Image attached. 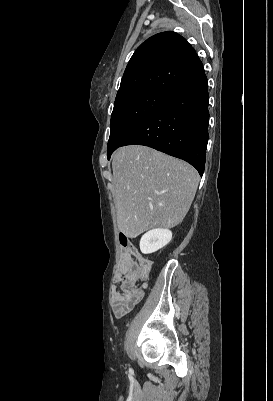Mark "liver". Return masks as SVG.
<instances>
[{
  "label": "liver",
  "instance_id": "1",
  "mask_svg": "<svg viewBox=\"0 0 273 401\" xmlns=\"http://www.w3.org/2000/svg\"><path fill=\"white\" fill-rule=\"evenodd\" d=\"M112 168L118 231L129 239L179 225L200 180L188 162L141 144L117 148Z\"/></svg>",
  "mask_w": 273,
  "mask_h": 401
}]
</instances>
